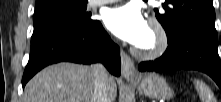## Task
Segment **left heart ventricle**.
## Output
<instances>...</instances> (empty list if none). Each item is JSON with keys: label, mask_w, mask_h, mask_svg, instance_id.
Returning <instances> with one entry per match:
<instances>
[{"label": "left heart ventricle", "mask_w": 221, "mask_h": 102, "mask_svg": "<svg viewBox=\"0 0 221 102\" xmlns=\"http://www.w3.org/2000/svg\"><path fill=\"white\" fill-rule=\"evenodd\" d=\"M154 42H155V36L153 32L151 31V29L148 27V30L144 38L141 40L138 46L142 48H150L151 46H153Z\"/></svg>", "instance_id": "obj_1"}]
</instances>
